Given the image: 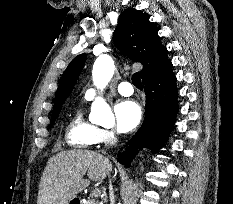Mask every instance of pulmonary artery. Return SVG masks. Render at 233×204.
<instances>
[{"label": "pulmonary artery", "instance_id": "1", "mask_svg": "<svg viewBox=\"0 0 233 204\" xmlns=\"http://www.w3.org/2000/svg\"><path fill=\"white\" fill-rule=\"evenodd\" d=\"M117 91L123 96H130L133 94L134 90L129 82H121L117 85ZM97 94V89L95 87H90L85 93V98L87 100L93 99Z\"/></svg>", "mask_w": 233, "mask_h": 204}]
</instances>
